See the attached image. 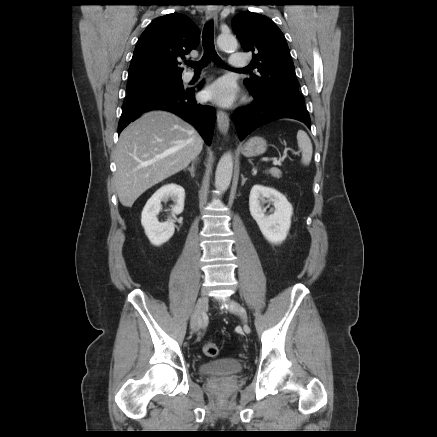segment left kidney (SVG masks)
Segmentation results:
<instances>
[{"label":"left kidney","mask_w":437,"mask_h":437,"mask_svg":"<svg viewBox=\"0 0 437 437\" xmlns=\"http://www.w3.org/2000/svg\"><path fill=\"white\" fill-rule=\"evenodd\" d=\"M267 201L274 205L273 214H265L262 205ZM249 210L266 240L280 244L286 239L293 207L283 194L273 188L256 184L250 191Z\"/></svg>","instance_id":"left-kidney-1"}]
</instances>
